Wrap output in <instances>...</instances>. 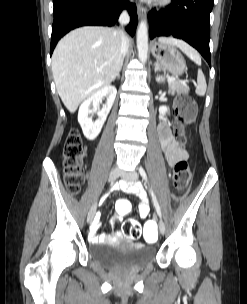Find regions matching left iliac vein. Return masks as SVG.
Instances as JSON below:
<instances>
[{"mask_svg": "<svg viewBox=\"0 0 247 304\" xmlns=\"http://www.w3.org/2000/svg\"><path fill=\"white\" fill-rule=\"evenodd\" d=\"M121 176H122L123 180H125L127 182H133L138 178V174L135 171L122 172ZM159 231L162 235H164L166 232V227L162 220L159 221Z\"/></svg>", "mask_w": 247, "mask_h": 304, "instance_id": "4c4485c4", "label": "left iliac vein"}]
</instances>
